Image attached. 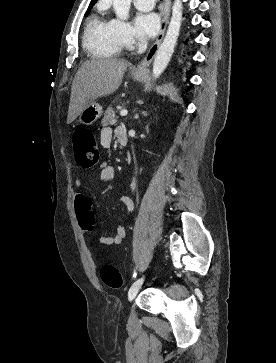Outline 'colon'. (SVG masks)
Segmentation results:
<instances>
[{
  "label": "colon",
  "mask_w": 276,
  "mask_h": 363,
  "mask_svg": "<svg viewBox=\"0 0 276 363\" xmlns=\"http://www.w3.org/2000/svg\"><path fill=\"white\" fill-rule=\"evenodd\" d=\"M73 151L77 163L83 168H90L99 162L100 150L95 134L87 128H81L73 134ZM79 223L82 229L91 227L90 222L83 220L82 213L79 214ZM102 281L110 288H121L123 278L113 265H104L100 269Z\"/></svg>",
  "instance_id": "colon-1"
}]
</instances>
